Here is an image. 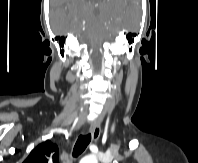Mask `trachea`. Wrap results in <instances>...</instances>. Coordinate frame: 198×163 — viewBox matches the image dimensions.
I'll list each match as a JSON object with an SVG mask.
<instances>
[{
	"mask_svg": "<svg viewBox=\"0 0 198 163\" xmlns=\"http://www.w3.org/2000/svg\"><path fill=\"white\" fill-rule=\"evenodd\" d=\"M90 141L91 134L79 136L73 149V157H78L86 149Z\"/></svg>",
	"mask_w": 198,
	"mask_h": 163,
	"instance_id": "obj_1",
	"label": "trachea"
}]
</instances>
